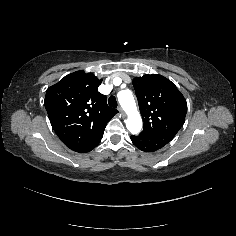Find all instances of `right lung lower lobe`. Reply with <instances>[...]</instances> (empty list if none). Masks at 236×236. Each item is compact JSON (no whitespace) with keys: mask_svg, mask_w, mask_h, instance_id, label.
<instances>
[{"mask_svg":"<svg viewBox=\"0 0 236 236\" xmlns=\"http://www.w3.org/2000/svg\"><path fill=\"white\" fill-rule=\"evenodd\" d=\"M100 141H101V139H100ZM100 141H98L97 143H95V144H93V145H91V146H88V147H86V148H84V149H82L81 151H78V152H79V153H86V152H89V151H91L92 149H94V148L99 144Z\"/></svg>","mask_w":236,"mask_h":236,"instance_id":"1","label":"right lung lower lobe"}]
</instances>
